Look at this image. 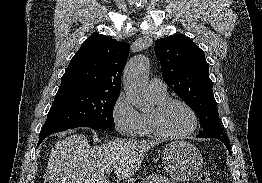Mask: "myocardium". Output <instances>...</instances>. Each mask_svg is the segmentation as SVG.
<instances>
[{"label": "myocardium", "mask_w": 262, "mask_h": 183, "mask_svg": "<svg viewBox=\"0 0 262 183\" xmlns=\"http://www.w3.org/2000/svg\"><path fill=\"white\" fill-rule=\"evenodd\" d=\"M173 104H180L184 106L192 115V128L182 134H171L164 130L162 126V116L165 111ZM149 124L153 134L161 139H183L191 136L196 132L199 125V118L195 109L185 100L179 98H166L165 100L156 104L154 109L149 113Z\"/></svg>", "instance_id": "1"}]
</instances>
